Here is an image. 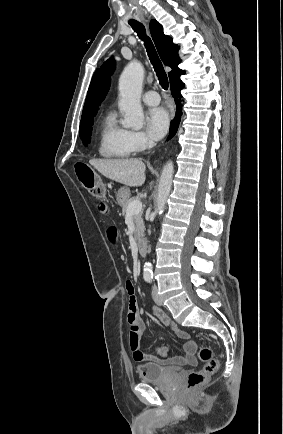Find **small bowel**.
<instances>
[{
  "label": "small bowel",
  "mask_w": 283,
  "mask_h": 434,
  "mask_svg": "<svg viewBox=\"0 0 283 434\" xmlns=\"http://www.w3.org/2000/svg\"><path fill=\"white\" fill-rule=\"evenodd\" d=\"M97 211L101 215H107L109 213V206L107 203L101 202L97 205ZM107 238L112 243H115L118 240V233L115 227H109L107 229ZM126 291L128 294L127 320L130 328L129 344L133 359L136 362H151L160 366L195 365L197 362L195 357L196 344L190 339V334L187 331L180 329L178 325L170 319L166 312L158 307H152V313L162 324L169 327L177 337L185 340L183 343L184 355L165 357L167 352L165 346L157 348V352L161 357L145 354L142 351L140 348V339L145 334L146 327L138 310L137 297L132 281L128 280L126 282Z\"/></svg>",
  "instance_id": "c3829d8e"
}]
</instances>
